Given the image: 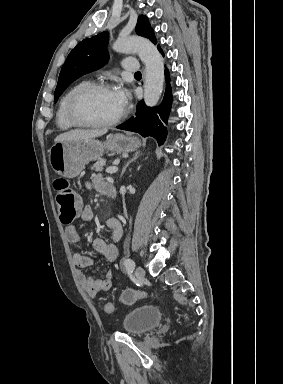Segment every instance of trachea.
<instances>
[{
	"label": "trachea",
	"mask_w": 283,
	"mask_h": 384,
	"mask_svg": "<svg viewBox=\"0 0 283 384\" xmlns=\"http://www.w3.org/2000/svg\"><path fill=\"white\" fill-rule=\"evenodd\" d=\"M135 75H141V72H136Z\"/></svg>",
	"instance_id": "obj_1"
}]
</instances>
